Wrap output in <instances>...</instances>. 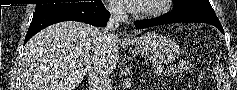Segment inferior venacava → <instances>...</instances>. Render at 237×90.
<instances>
[{
	"label": "inferior vena cava",
	"instance_id": "inferior-vena-cava-1",
	"mask_svg": "<svg viewBox=\"0 0 237 90\" xmlns=\"http://www.w3.org/2000/svg\"><path fill=\"white\" fill-rule=\"evenodd\" d=\"M106 10L109 12L110 18L105 28H101L97 54L86 64L89 74L88 90H111L110 74L115 66L110 62L114 60L116 48H119L117 32L120 22L128 18L127 12L121 4H109Z\"/></svg>",
	"mask_w": 237,
	"mask_h": 90
}]
</instances>
